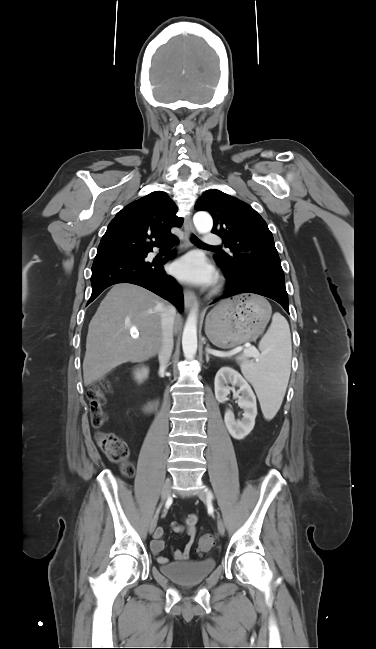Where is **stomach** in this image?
<instances>
[{
    "mask_svg": "<svg viewBox=\"0 0 376 649\" xmlns=\"http://www.w3.org/2000/svg\"><path fill=\"white\" fill-rule=\"evenodd\" d=\"M271 313L270 304L260 296H234L219 303L208 314L205 333L218 348H233L256 339Z\"/></svg>",
    "mask_w": 376,
    "mask_h": 649,
    "instance_id": "0dacf381",
    "label": "stomach"
}]
</instances>
